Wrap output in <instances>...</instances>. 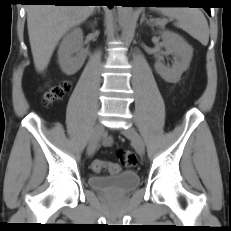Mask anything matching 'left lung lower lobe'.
<instances>
[{
	"label": "left lung lower lobe",
	"instance_id": "left-lung-lower-lobe-1",
	"mask_svg": "<svg viewBox=\"0 0 231 231\" xmlns=\"http://www.w3.org/2000/svg\"><path fill=\"white\" fill-rule=\"evenodd\" d=\"M153 3H158L156 0H135V5L134 6H146L147 4H153ZM206 12L210 14V7H204Z\"/></svg>",
	"mask_w": 231,
	"mask_h": 231
}]
</instances>
